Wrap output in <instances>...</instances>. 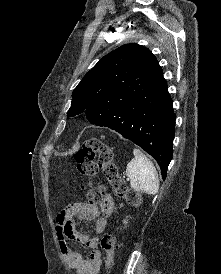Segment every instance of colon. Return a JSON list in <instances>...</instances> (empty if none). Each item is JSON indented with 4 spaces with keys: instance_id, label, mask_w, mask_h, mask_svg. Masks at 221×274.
Segmentation results:
<instances>
[{
    "instance_id": "colon-1",
    "label": "colon",
    "mask_w": 221,
    "mask_h": 274,
    "mask_svg": "<svg viewBox=\"0 0 221 274\" xmlns=\"http://www.w3.org/2000/svg\"><path fill=\"white\" fill-rule=\"evenodd\" d=\"M75 159L80 174L93 177L101 170L116 196L123 198L132 206L140 205V194L132 190L120 176L117 166L113 162V153L109 146L97 139L88 140L76 152ZM83 189L86 199L91 204L101 203L106 196L105 188L101 185L88 184ZM100 245L105 253L106 266L110 269L114 264L115 239L112 235H105L102 237Z\"/></svg>"
}]
</instances>
